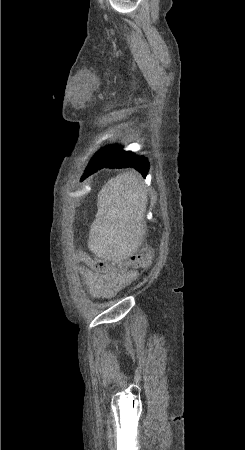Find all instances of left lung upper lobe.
Returning a JSON list of instances; mask_svg holds the SVG:
<instances>
[{
	"label": "left lung upper lobe",
	"instance_id": "5c2ea615",
	"mask_svg": "<svg viewBox=\"0 0 245 450\" xmlns=\"http://www.w3.org/2000/svg\"><path fill=\"white\" fill-rule=\"evenodd\" d=\"M97 157H98V154H95V156H94V157L91 159V161L89 162L87 168L90 167L92 164H94V162L96 161ZM87 168H86V169H87Z\"/></svg>",
	"mask_w": 245,
	"mask_h": 450
}]
</instances>
